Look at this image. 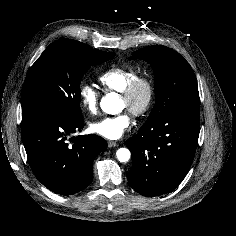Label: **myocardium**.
Wrapping results in <instances>:
<instances>
[{"label": "myocardium", "instance_id": "myocardium-1", "mask_svg": "<svg viewBox=\"0 0 236 236\" xmlns=\"http://www.w3.org/2000/svg\"><path fill=\"white\" fill-rule=\"evenodd\" d=\"M141 91L144 92L143 101L140 104L133 103ZM120 93L121 98L131 104L127 110L133 116L140 117L145 115L153 106L156 97V85L151 76L138 75Z\"/></svg>", "mask_w": 236, "mask_h": 236}]
</instances>
